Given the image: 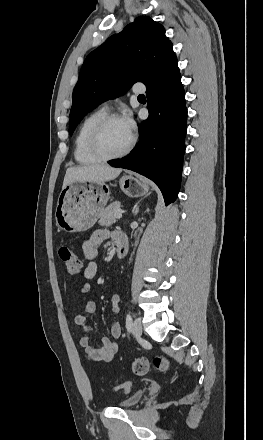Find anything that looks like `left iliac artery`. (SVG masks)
I'll return each instance as SVG.
<instances>
[{
    "mask_svg": "<svg viewBox=\"0 0 263 440\" xmlns=\"http://www.w3.org/2000/svg\"><path fill=\"white\" fill-rule=\"evenodd\" d=\"M131 327H132V317L130 314H127V316H126V329L128 332H130Z\"/></svg>",
    "mask_w": 263,
    "mask_h": 440,
    "instance_id": "obj_1",
    "label": "left iliac artery"
}]
</instances>
